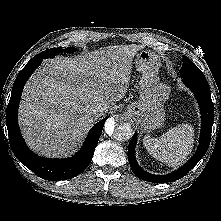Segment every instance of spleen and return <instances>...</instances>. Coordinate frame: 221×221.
<instances>
[{
  "label": "spleen",
  "mask_w": 221,
  "mask_h": 221,
  "mask_svg": "<svg viewBox=\"0 0 221 221\" xmlns=\"http://www.w3.org/2000/svg\"><path fill=\"white\" fill-rule=\"evenodd\" d=\"M193 131L191 125L181 124L159 138L145 136L143 144L153 158L170 167H177L187 159L193 149Z\"/></svg>",
  "instance_id": "obj_1"
}]
</instances>
